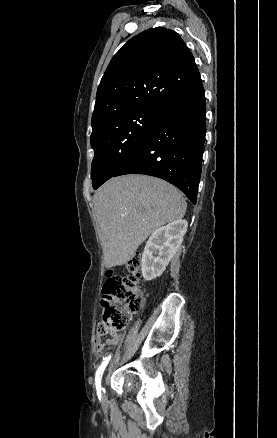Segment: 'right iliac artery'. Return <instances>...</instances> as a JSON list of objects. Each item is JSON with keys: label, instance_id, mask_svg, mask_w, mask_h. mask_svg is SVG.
<instances>
[{"label": "right iliac artery", "instance_id": "obj_1", "mask_svg": "<svg viewBox=\"0 0 277 438\" xmlns=\"http://www.w3.org/2000/svg\"><path fill=\"white\" fill-rule=\"evenodd\" d=\"M110 358H111V355H109L106 359H104V361L99 366V368L96 372L95 384H96V389H97V393H98L99 397H101V376H102L103 371H104L105 367L107 366Z\"/></svg>", "mask_w": 277, "mask_h": 438}]
</instances>
